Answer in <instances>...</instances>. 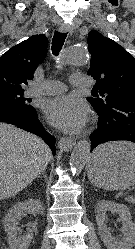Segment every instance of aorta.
<instances>
[{"label": "aorta", "instance_id": "obj_1", "mask_svg": "<svg viewBox=\"0 0 135 249\" xmlns=\"http://www.w3.org/2000/svg\"><path fill=\"white\" fill-rule=\"evenodd\" d=\"M88 61L86 47L71 46L64 50L62 62L71 65H84ZM91 144L89 141L80 140L70 156V167L75 173H80L87 164L90 157Z\"/></svg>", "mask_w": 135, "mask_h": 249}]
</instances>
